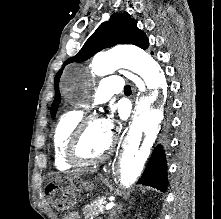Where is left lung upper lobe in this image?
Returning <instances> with one entry per match:
<instances>
[{
    "label": "left lung upper lobe",
    "mask_w": 221,
    "mask_h": 219,
    "mask_svg": "<svg viewBox=\"0 0 221 219\" xmlns=\"http://www.w3.org/2000/svg\"><path fill=\"white\" fill-rule=\"evenodd\" d=\"M118 44H134L140 48L147 49L149 46L146 35L137 28V22L125 12L114 13L109 21L102 23L89 37L82 49L72 58H69L55 76V100L51 106V115L55 117L61 101L59 92V80L66 64L71 62H82L89 59L95 53L104 48Z\"/></svg>",
    "instance_id": "obj_1"
}]
</instances>
